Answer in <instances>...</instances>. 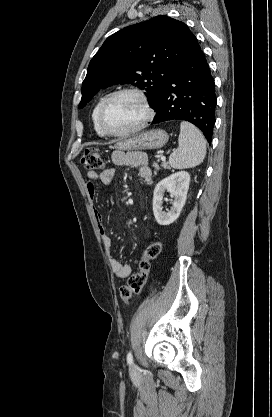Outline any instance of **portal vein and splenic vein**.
Instances as JSON below:
<instances>
[{
    "instance_id": "1",
    "label": "portal vein and splenic vein",
    "mask_w": 272,
    "mask_h": 417,
    "mask_svg": "<svg viewBox=\"0 0 272 417\" xmlns=\"http://www.w3.org/2000/svg\"><path fill=\"white\" fill-rule=\"evenodd\" d=\"M161 160H162V161H165V160H166V158H165V156H164V155H162V156H161Z\"/></svg>"
}]
</instances>
